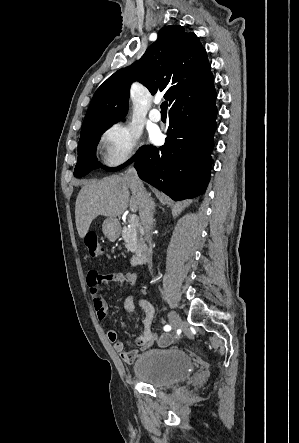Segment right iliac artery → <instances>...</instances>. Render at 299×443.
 <instances>
[{"label":"right iliac artery","mask_w":299,"mask_h":443,"mask_svg":"<svg viewBox=\"0 0 299 443\" xmlns=\"http://www.w3.org/2000/svg\"><path fill=\"white\" fill-rule=\"evenodd\" d=\"M164 330L165 331H170L171 330V326L170 325H165L164 326Z\"/></svg>","instance_id":"obj_1"}]
</instances>
